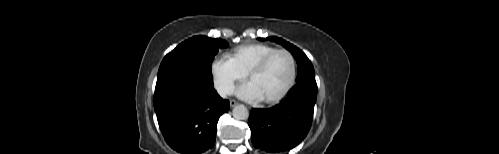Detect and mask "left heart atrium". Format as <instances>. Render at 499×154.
Listing matches in <instances>:
<instances>
[{
  "label": "left heart atrium",
  "mask_w": 499,
  "mask_h": 154,
  "mask_svg": "<svg viewBox=\"0 0 499 154\" xmlns=\"http://www.w3.org/2000/svg\"><path fill=\"white\" fill-rule=\"evenodd\" d=\"M235 94L238 97L251 102L262 100L255 85L250 81L237 87Z\"/></svg>",
  "instance_id": "39dd6f15"
}]
</instances>
